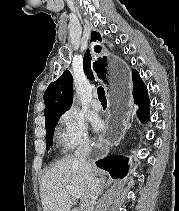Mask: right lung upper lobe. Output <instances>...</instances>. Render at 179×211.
Here are the masks:
<instances>
[{"label": "right lung upper lobe", "mask_w": 179, "mask_h": 211, "mask_svg": "<svg viewBox=\"0 0 179 211\" xmlns=\"http://www.w3.org/2000/svg\"><path fill=\"white\" fill-rule=\"evenodd\" d=\"M91 37L94 42L96 40L101 41L100 34L95 31L92 32ZM83 67L89 79H93V70L99 79L106 82L109 80V68L105 56L99 57L97 61L91 64V55L88 49L83 59ZM72 100L73 77L69 71H65L55 82L50 83L44 93L45 122L66 112L71 107Z\"/></svg>", "instance_id": "cb5924a9"}]
</instances>
